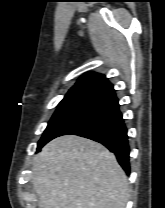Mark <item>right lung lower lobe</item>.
Here are the masks:
<instances>
[{
	"instance_id": "right-lung-lower-lobe-1",
	"label": "right lung lower lobe",
	"mask_w": 165,
	"mask_h": 208,
	"mask_svg": "<svg viewBox=\"0 0 165 208\" xmlns=\"http://www.w3.org/2000/svg\"><path fill=\"white\" fill-rule=\"evenodd\" d=\"M74 134L97 141L113 152L119 164L129 175V145L127 129L119 110L116 96L94 106L59 136Z\"/></svg>"
}]
</instances>
